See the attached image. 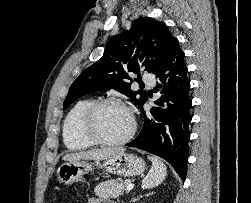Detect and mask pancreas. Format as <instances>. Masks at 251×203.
I'll list each match as a JSON object with an SVG mask.
<instances>
[{"label": "pancreas", "mask_w": 251, "mask_h": 203, "mask_svg": "<svg viewBox=\"0 0 251 203\" xmlns=\"http://www.w3.org/2000/svg\"><path fill=\"white\" fill-rule=\"evenodd\" d=\"M131 183L127 179L124 182L117 180H107L98 184L94 192L101 199L118 198L125 190L126 186Z\"/></svg>", "instance_id": "obj_1"}]
</instances>
